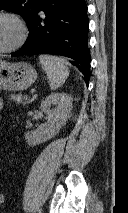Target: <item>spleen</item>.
Here are the masks:
<instances>
[{
    "label": "spleen",
    "mask_w": 128,
    "mask_h": 213,
    "mask_svg": "<svg viewBox=\"0 0 128 213\" xmlns=\"http://www.w3.org/2000/svg\"><path fill=\"white\" fill-rule=\"evenodd\" d=\"M39 60L49 79L50 89L56 90L61 87L69 76L67 61L52 55H41Z\"/></svg>",
    "instance_id": "spleen-1"
}]
</instances>
